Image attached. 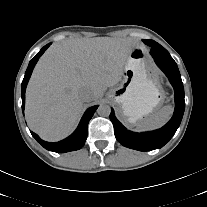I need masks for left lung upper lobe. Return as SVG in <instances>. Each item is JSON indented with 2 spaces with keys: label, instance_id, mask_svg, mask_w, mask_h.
<instances>
[{
  "label": "left lung upper lobe",
  "instance_id": "1",
  "mask_svg": "<svg viewBox=\"0 0 207 207\" xmlns=\"http://www.w3.org/2000/svg\"><path fill=\"white\" fill-rule=\"evenodd\" d=\"M143 41L145 44H147L151 48L162 47L160 44H158L157 42H155L153 40H143Z\"/></svg>",
  "mask_w": 207,
  "mask_h": 207
}]
</instances>
